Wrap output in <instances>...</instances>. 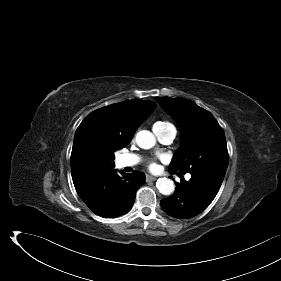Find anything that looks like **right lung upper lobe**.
<instances>
[{
    "label": "right lung upper lobe",
    "mask_w": 281,
    "mask_h": 281,
    "mask_svg": "<svg viewBox=\"0 0 281 281\" xmlns=\"http://www.w3.org/2000/svg\"><path fill=\"white\" fill-rule=\"evenodd\" d=\"M156 107L146 100H128L91 112L76 130L71 153L76 189L114 168V152L128 145Z\"/></svg>",
    "instance_id": "1"
}]
</instances>
